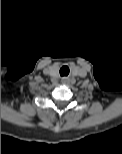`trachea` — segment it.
<instances>
[{
	"mask_svg": "<svg viewBox=\"0 0 122 154\" xmlns=\"http://www.w3.org/2000/svg\"><path fill=\"white\" fill-rule=\"evenodd\" d=\"M60 75L63 76H67L70 72L69 67L67 65H64L60 68Z\"/></svg>",
	"mask_w": 122,
	"mask_h": 154,
	"instance_id": "trachea-1",
	"label": "trachea"
}]
</instances>
